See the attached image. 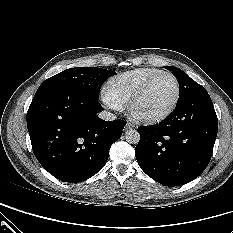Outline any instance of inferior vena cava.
<instances>
[{
  "label": "inferior vena cava",
  "instance_id": "obj_1",
  "mask_svg": "<svg viewBox=\"0 0 233 233\" xmlns=\"http://www.w3.org/2000/svg\"><path fill=\"white\" fill-rule=\"evenodd\" d=\"M101 119L106 120V121H112L116 119V116L108 111H102L98 115Z\"/></svg>",
  "mask_w": 233,
  "mask_h": 233
}]
</instances>
